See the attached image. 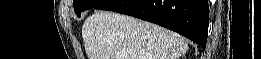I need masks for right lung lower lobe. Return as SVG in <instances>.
Wrapping results in <instances>:
<instances>
[{"instance_id":"98d812e1","label":"right lung lower lobe","mask_w":261,"mask_h":59,"mask_svg":"<svg viewBox=\"0 0 261 59\" xmlns=\"http://www.w3.org/2000/svg\"><path fill=\"white\" fill-rule=\"evenodd\" d=\"M94 8L156 23L206 46L208 0H105Z\"/></svg>"}]
</instances>
